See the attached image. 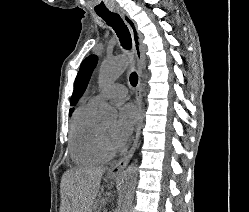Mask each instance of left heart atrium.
Listing matches in <instances>:
<instances>
[{"instance_id": "obj_1", "label": "left heart atrium", "mask_w": 249, "mask_h": 212, "mask_svg": "<svg viewBox=\"0 0 249 212\" xmlns=\"http://www.w3.org/2000/svg\"><path fill=\"white\" fill-rule=\"evenodd\" d=\"M137 119L138 113L134 105L126 104L119 109L118 117L109 140L113 149L121 150L125 147L134 130Z\"/></svg>"}]
</instances>
